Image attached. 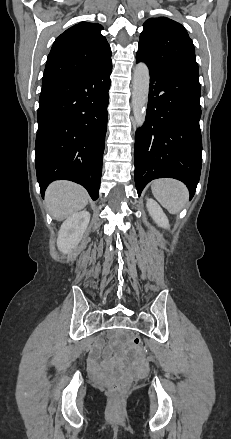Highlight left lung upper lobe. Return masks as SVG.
Segmentation results:
<instances>
[{
    "label": "left lung upper lobe",
    "mask_w": 231,
    "mask_h": 439,
    "mask_svg": "<svg viewBox=\"0 0 231 439\" xmlns=\"http://www.w3.org/2000/svg\"><path fill=\"white\" fill-rule=\"evenodd\" d=\"M143 26L137 56L149 64L198 73L194 45L181 24L158 17Z\"/></svg>",
    "instance_id": "obj_1"
}]
</instances>
